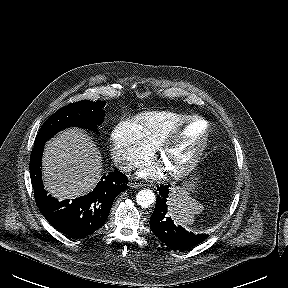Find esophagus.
<instances>
[{
  "label": "esophagus",
  "mask_w": 288,
  "mask_h": 288,
  "mask_svg": "<svg viewBox=\"0 0 288 288\" xmlns=\"http://www.w3.org/2000/svg\"><path fill=\"white\" fill-rule=\"evenodd\" d=\"M128 185H129V187H131V188H138V187L141 186L140 183H138V182H136V181H133V180L129 181Z\"/></svg>",
  "instance_id": "34e87169"
}]
</instances>
